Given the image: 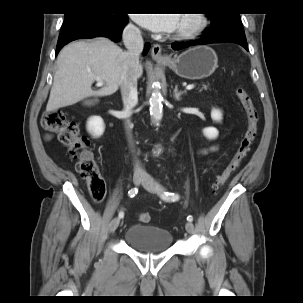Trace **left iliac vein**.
I'll return each instance as SVG.
<instances>
[{
    "mask_svg": "<svg viewBox=\"0 0 303 303\" xmlns=\"http://www.w3.org/2000/svg\"><path fill=\"white\" fill-rule=\"evenodd\" d=\"M142 186L144 188H146L148 191L150 192H161L163 191V187L160 186L151 176H149L148 174H146L144 176V179L142 180ZM186 231L189 234H192L194 232V225L192 222H187L185 225Z\"/></svg>",
    "mask_w": 303,
    "mask_h": 303,
    "instance_id": "obj_1",
    "label": "left iliac vein"
}]
</instances>
